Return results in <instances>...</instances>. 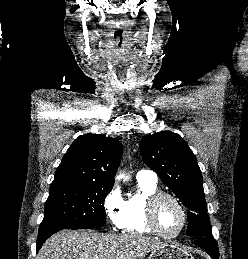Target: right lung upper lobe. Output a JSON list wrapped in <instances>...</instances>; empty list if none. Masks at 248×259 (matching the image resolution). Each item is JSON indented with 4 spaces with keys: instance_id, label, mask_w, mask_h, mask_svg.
Wrapping results in <instances>:
<instances>
[{
    "instance_id": "obj_1",
    "label": "right lung upper lobe",
    "mask_w": 248,
    "mask_h": 259,
    "mask_svg": "<svg viewBox=\"0 0 248 259\" xmlns=\"http://www.w3.org/2000/svg\"><path fill=\"white\" fill-rule=\"evenodd\" d=\"M123 147L115 138L99 134L78 137L67 150L51 184L113 186Z\"/></svg>"
}]
</instances>
